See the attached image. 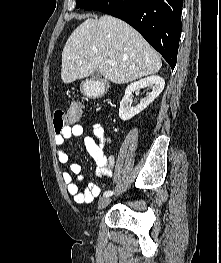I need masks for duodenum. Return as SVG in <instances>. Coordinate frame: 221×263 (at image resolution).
Listing matches in <instances>:
<instances>
[{"instance_id":"1","label":"duodenum","mask_w":221,"mask_h":263,"mask_svg":"<svg viewBox=\"0 0 221 263\" xmlns=\"http://www.w3.org/2000/svg\"><path fill=\"white\" fill-rule=\"evenodd\" d=\"M92 92H93L94 97H98L104 92V87L100 85H96L92 88Z\"/></svg>"}]
</instances>
